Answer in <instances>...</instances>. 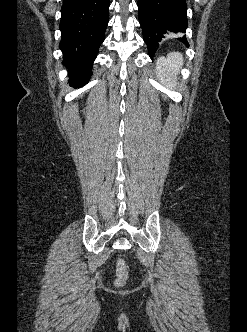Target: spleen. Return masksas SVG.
<instances>
[{
  "label": "spleen",
  "mask_w": 247,
  "mask_h": 332,
  "mask_svg": "<svg viewBox=\"0 0 247 332\" xmlns=\"http://www.w3.org/2000/svg\"><path fill=\"white\" fill-rule=\"evenodd\" d=\"M182 65L183 57L179 52H171L166 58L159 57L156 63V71L160 82L170 89H175L177 75Z\"/></svg>",
  "instance_id": "3e777b00"
}]
</instances>
